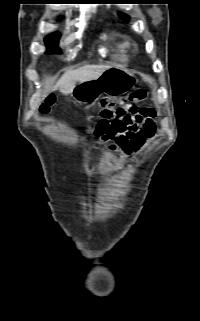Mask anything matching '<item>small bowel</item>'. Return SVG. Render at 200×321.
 <instances>
[{"label": "small bowel", "instance_id": "c3829d8e", "mask_svg": "<svg viewBox=\"0 0 200 321\" xmlns=\"http://www.w3.org/2000/svg\"><path fill=\"white\" fill-rule=\"evenodd\" d=\"M156 134L155 112L145 109L141 112H130L115 121L99 122L94 136L110 149L118 148L129 154L138 151L146 140Z\"/></svg>", "mask_w": 200, "mask_h": 321}]
</instances>
